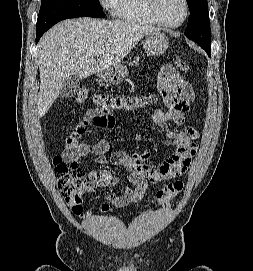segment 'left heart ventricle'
<instances>
[{
    "label": "left heart ventricle",
    "instance_id": "b2bd125f",
    "mask_svg": "<svg viewBox=\"0 0 253 271\" xmlns=\"http://www.w3.org/2000/svg\"><path fill=\"white\" fill-rule=\"evenodd\" d=\"M160 16L170 24L179 23L184 17L185 7L183 0H157Z\"/></svg>",
    "mask_w": 253,
    "mask_h": 271
}]
</instances>
